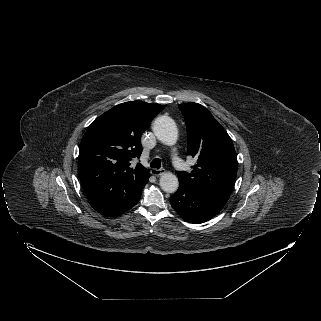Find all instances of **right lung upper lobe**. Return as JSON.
Instances as JSON below:
<instances>
[{
    "mask_svg": "<svg viewBox=\"0 0 321 321\" xmlns=\"http://www.w3.org/2000/svg\"><path fill=\"white\" fill-rule=\"evenodd\" d=\"M163 105L141 101L119 104L95 119L79 148V175L90 201L128 196L148 181L149 172L140 163L130 167L142 153L141 134Z\"/></svg>",
    "mask_w": 321,
    "mask_h": 321,
    "instance_id": "obj_1",
    "label": "right lung upper lobe"
}]
</instances>
